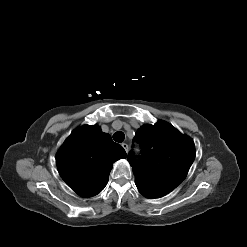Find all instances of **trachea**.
<instances>
[{
  "label": "trachea",
  "mask_w": 247,
  "mask_h": 247,
  "mask_svg": "<svg viewBox=\"0 0 247 247\" xmlns=\"http://www.w3.org/2000/svg\"><path fill=\"white\" fill-rule=\"evenodd\" d=\"M113 139H114V141L121 143L124 141L125 135L123 132L118 131V132L113 134Z\"/></svg>",
  "instance_id": "1"
}]
</instances>
